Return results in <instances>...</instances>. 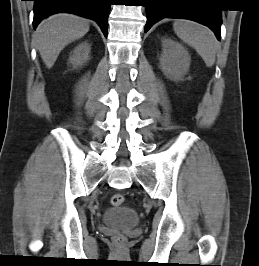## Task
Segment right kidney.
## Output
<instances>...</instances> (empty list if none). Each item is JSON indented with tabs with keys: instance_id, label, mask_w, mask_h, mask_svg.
Returning <instances> with one entry per match:
<instances>
[{
	"instance_id": "right-kidney-1",
	"label": "right kidney",
	"mask_w": 259,
	"mask_h": 266,
	"mask_svg": "<svg viewBox=\"0 0 259 266\" xmlns=\"http://www.w3.org/2000/svg\"><path fill=\"white\" fill-rule=\"evenodd\" d=\"M90 45L87 41L79 44L72 52V55L69 58V62L73 65L74 68L82 66L89 60Z\"/></svg>"
}]
</instances>
